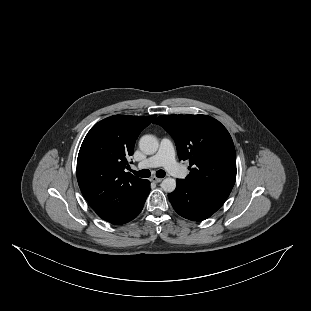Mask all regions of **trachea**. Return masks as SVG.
Returning a JSON list of instances; mask_svg holds the SVG:
<instances>
[{
	"mask_svg": "<svg viewBox=\"0 0 311 311\" xmlns=\"http://www.w3.org/2000/svg\"><path fill=\"white\" fill-rule=\"evenodd\" d=\"M131 171L133 172V174H135L136 176L141 177V178H149L150 175H151V173H150V171H149L148 169H143V170H139V171H133V170H131ZM156 176H157L158 178H163V177H165V171L162 170V169L158 170V171L156 172Z\"/></svg>",
	"mask_w": 311,
	"mask_h": 311,
	"instance_id": "3493384b",
	"label": "trachea"
}]
</instances>
